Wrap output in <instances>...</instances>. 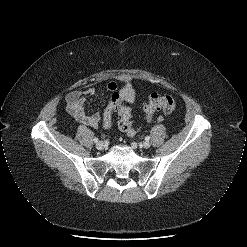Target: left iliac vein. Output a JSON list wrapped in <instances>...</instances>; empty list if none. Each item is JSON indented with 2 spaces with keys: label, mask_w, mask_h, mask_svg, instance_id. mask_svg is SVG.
<instances>
[{
  "label": "left iliac vein",
  "mask_w": 247,
  "mask_h": 247,
  "mask_svg": "<svg viewBox=\"0 0 247 247\" xmlns=\"http://www.w3.org/2000/svg\"><path fill=\"white\" fill-rule=\"evenodd\" d=\"M150 146H151V144H150L149 141H144V142H143V147H144V148L147 149V148H149Z\"/></svg>",
  "instance_id": "1"
}]
</instances>
